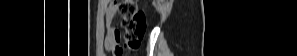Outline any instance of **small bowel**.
<instances>
[{
	"label": "small bowel",
	"instance_id": "small-bowel-1",
	"mask_svg": "<svg viewBox=\"0 0 297 56\" xmlns=\"http://www.w3.org/2000/svg\"><path fill=\"white\" fill-rule=\"evenodd\" d=\"M116 6L114 4H110L106 11V36L104 38V47L107 51L112 52L113 54L116 51L121 50L119 45L121 39L120 31L113 27V21L115 18Z\"/></svg>",
	"mask_w": 297,
	"mask_h": 56
}]
</instances>
